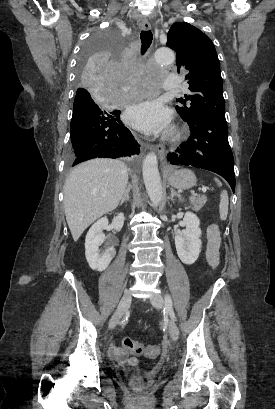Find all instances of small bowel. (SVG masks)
Here are the masks:
<instances>
[{
  "instance_id": "c3829d8e",
  "label": "small bowel",
  "mask_w": 275,
  "mask_h": 409,
  "mask_svg": "<svg viewBox=\"0 0 275 409\" xmlns=\"http://www.w3.org/2000/svg\"><path fill=\"white\" fill-rule=\"evenodd\" d=\"M219 247H220V236L217 225H212L208 230V244L206 250V257L209 264L214 268L219 262ZM110 357L119 362L127 363L129 365H136L138 363L137 359L134 357H129L127 351L123 348L112 345L109 351Z\"/></svg>"
}]
</instances>
